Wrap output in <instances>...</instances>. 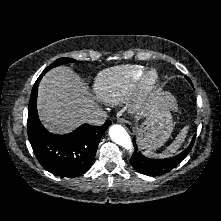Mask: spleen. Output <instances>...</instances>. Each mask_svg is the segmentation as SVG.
I'll return each mask as SVG.
<instances>
[{
  "instance_id": "obj_1",
  "label": "spleen",
  "mask_w": 221,
  "mask_h": 221,
  "mask_svg": "<svg viewBox=\"0 0 221 221\" xmlns=\"http://www.w3.org/2000/svg\"><path fill=\"white\" fill-rule=\"evenodd\" d=\"M189 126H185L180 133L177 135L175 140L161 153V154H156L150 150H145L144 154L148 157H169L177 152V150L180 148L182 143L184 142L187 132H188Z\"/></svg>"
}]
</instances>
